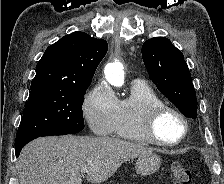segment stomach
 Listing matches in <instances>:
<instances>
[{
  "label": "stomach",
  "mask_w": 224,
  "mask_h": 184,
  "mask_svg": "<svg viewBox=\"0 0 224 184\" xmlns=\"http://www.w3.org/2000/svg\"><path fill=\"white\" fill-rule=\"evenodd\" d=\"M161 165V159L154 153H149L138 157L136 161V171L141 176H147L158 171Z\"/></svg>",
  "instance_id": "1"
}]
</instances>
